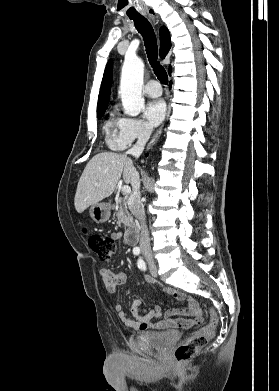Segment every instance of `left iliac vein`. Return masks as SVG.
I'll return each mask as SVG.
<instances>
[{"label":"left iliac vein","mask_w":279,"mask_h":391,"mask_svg":"<svg viewBox=\"0 0 279 391\" xmlns=\"http://www.w3.org/2000/svg\"><path fill=\"white\" fill-rule=\"evenodd\" d=\"M149 270L153 277H157V267L154 262L149 263Z\"/></svg>","instance_id":"4c4485c4"}]
</instances>
